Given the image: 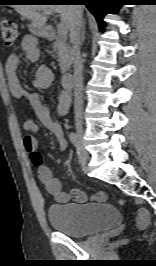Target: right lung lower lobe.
I'll return each instance as SVG.
<instances>
[{
	"label": "right lung lower lobe",
	"instance_id": "right-lung-lower-lobe-1",
	"mask_svg": "<svg viewBox=\"0 0 156 266\" xmlns=\"http://www.w3.org/2000/svg\"><path fill=\"white\" fill-rule=\"evenodd\" d=\"M58 2L52 3H67V1H72V3H78L81 5H86L88 10L96 17L98 25L101 30L104 28L103 17L107 13H115L122 6V0H57Z\"/></svg>",
	"mask_w": 156,
	"mask_h": 266
}]
</instances>
